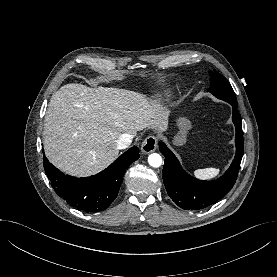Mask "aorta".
Listing matches in <instances>:
<instances>
[{
    "instance_id": "762f6f07",
    "label": "aorta",
    "mask_w": 277,
    "mask_h": 277,
    "mask_svg": "<svg viewBox=\"0 0 277 277\" xmlns=\"http://www.w3.org/2000/svg\"><path fill=\"white\" fill-rule=\"evenodd\" d=\"M148 163L152 167H160L162 165V157L157 153H152L148 157Z\"/></svg>"
}]
</instances>
